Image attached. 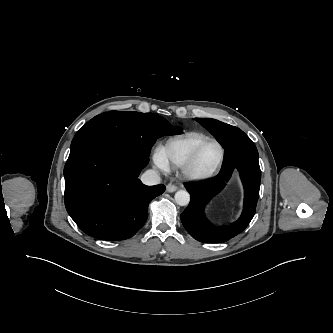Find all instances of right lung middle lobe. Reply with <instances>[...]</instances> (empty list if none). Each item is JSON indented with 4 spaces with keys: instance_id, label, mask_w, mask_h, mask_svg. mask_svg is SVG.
Here are the masks:
<instances>
[{
    "instance_id": "obj_1",
    "label": "right lung middle lobe",
    "mask_w": 333,
    "mask_h": 333,
    "mask_svg": "<svg viewBox=\"0 0 333 333\" xmlns=\"http://www.w3.org/2000/svg\"><path fill=\"white\" fill-rule=\"evenodd\" d=\"M181 131L155 113L109 111L87 122L76 133L71 145L86 137L97 136L148 158L157 138Z\"/></svg>"
}]
</instances>
